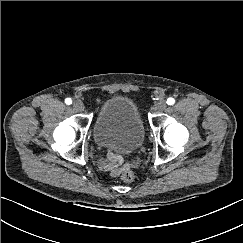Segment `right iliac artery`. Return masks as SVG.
Segmentation results:
<instances>
[{"mask_svg":"<svg viewBox=\"0 0 243 243\" xmlns=\"http://www.w3.org/2000/svg\"><path fill=\"white\" fill-rule=\"evenodd\" d=\"M65 103H66L67 105H70V104L72 103L71 98H66V99H65Z\"/></svg>","mask_w":243,"mask_h":243,"instance_id":"obj_1","label":"right iliac artery"}]
</instances>
